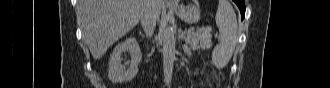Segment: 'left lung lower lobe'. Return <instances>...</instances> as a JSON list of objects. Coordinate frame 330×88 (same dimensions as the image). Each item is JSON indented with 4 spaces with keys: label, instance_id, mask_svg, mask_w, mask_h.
<instances>
[{
    "label": "left lung lower lobe",
    "instance_id": "obj_1",
    "mask_svg": "<svg viewBox=\"0 0 330 88\" xmlns=\"http://www.w3.org/2000/svg\"><path fill=\"white\" fill-rule=\"evenodd\" d=\"M240 9L242 19L245 16V0H233Z\"/></svg>",
    "mask_w": 330,
    "mask_h": 88
}]
</instances>
